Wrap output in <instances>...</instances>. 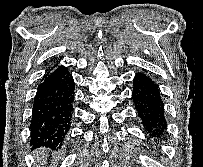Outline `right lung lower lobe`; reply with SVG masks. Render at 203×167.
<instances>
[{
  "label": "right lung lower lobe",
  "instance_id": "98d812e1",
  "mask_svg": "<svg viewBox=\"0 0 203 167\" xmlns=\"http://www.w3.org/2000/svg\"><path fill=\"white\" fill-rule=\"evenodd\" d=\"M74 80L67 68L45 75L35 96L30 131L32 149H60L71 127Z\"/></svg>",
  "mask_w": 203,
  "mask_h": 167
}]
</instances>
